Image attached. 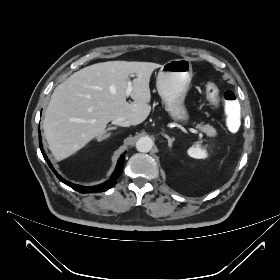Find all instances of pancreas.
Here are the masks:
<instances>
[{
    "mask_svg": "<svg viewBox=\"0 0 280 280\" xmlns=\"http://www.w3.org/2000/svg\"><path fill=\"white\" fill-rule=\"evenodd\" d=\"M197 128H199L201 131H203L208 136H215L216 135V129L213 128L209 124H206V125L198 124Z\"/></svg>",
    "mask_w": 280,
    "mask_h": 280,
    "instance_id": "1",
    "label": "pancreas"
}]
</instances>
